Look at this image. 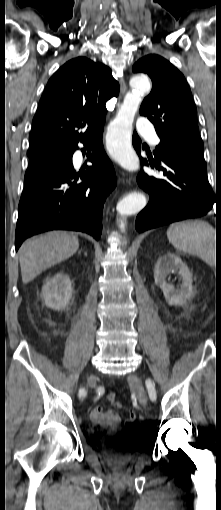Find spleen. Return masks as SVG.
<instances>
[{
	"mask_svg": "<svg viewBox=\"0 0 221 510\" xmlns=\"http://www.w3.org/2000/svg\"><path fill=\"white\" fill-rule=\"evenodd\" d=\"M167 237L177 250L214 264L215 230L210 224L201 220L176 222L169 226Z\"/></svg>",
	"mask_w": 221,
	"mask_h": 510,
	"instance_id": "obj_1",
	"label": "spleen"
}]
</instances>
